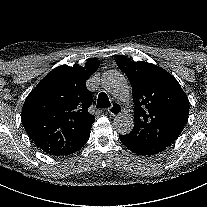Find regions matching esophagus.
Returning <instances> with one entry per match:
<instances>
[{"mask_svg": "<svg viewBox=\"0 0 207 207\" xmlns=\"http://www.w3.org/2000/svg\"><path fill=\"white\" fill-rule=\"evenodd\" d=\"M123 108L120 104L118 103H114L110 106V108L107 110V113L110 116H118L122 113Z\"/></svg>", "mask_w": 207, "mask_h": 207, "instance_id": "1", "label": "esophagus"}]
</instances>
